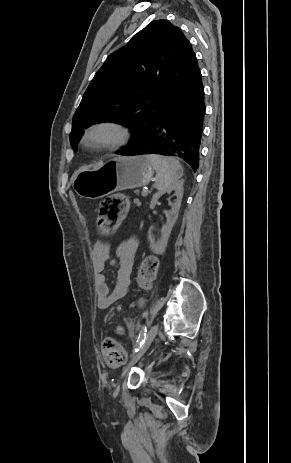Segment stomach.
<instances>
[{"label":"stomach","mask_w":291,"mask_h":463,"mask_svg":"<svg viewBox=\"0 0 291 463\" xmlns=\"http://www.w3.org/2000/svg\"><path fill=\"white\" fill-rule=\"evenodd\" d=\"M152 176L153 168L146 156L117 157L101 165L81 167L72 177V186L82 197L99 199L145 186Z\"/></svg>","instance_id":"obj_1"}]
</instances>
